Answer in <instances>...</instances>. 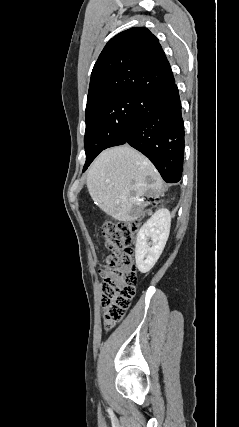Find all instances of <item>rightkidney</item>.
Returning <instances> with one entry per match:
<instances>
[{"label":"right kidney","instance_id":"1","mask_svg":"<svg viewBox=\"0 0 239 427\" xmlns=\"http://www.w3.org/2000/svg\"><path fill=\"white\" fill-rule=\"evenodd\" d=\"M171 225L168 209L157 210L141 227L135 247L136 266L141 273L149 272L166 245Z\"/></svg>","mask_w":239,"mask_h":427}]
</instances>
